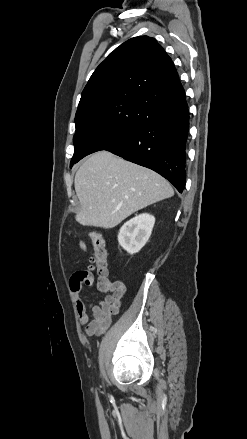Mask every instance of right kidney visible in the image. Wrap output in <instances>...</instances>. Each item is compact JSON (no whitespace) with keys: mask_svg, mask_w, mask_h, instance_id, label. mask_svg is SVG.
<instances>
[{"mask_svg":"<svg viewBox=\"0 0 247 439\" xmlns=\"http://www.w3.org/2000/svg\"><path fill=\"white\" fill-rule=\"evenodd\" d=\"M155 217L143 213L127 221L118 234L119 245L129 254L139 252L149 240Z\"/></svg>","mask_w":247,"mask_h":439,"instance_id":"1","label":"right kidney"}]
</instances>
